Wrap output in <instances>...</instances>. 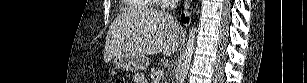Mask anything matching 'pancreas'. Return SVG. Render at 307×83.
Instances as JSON below:
<instances>
[{"label": "pancreas", "instance_id": "1", "mask_svg": "<svg viewBox=\"0 0 307 83\" xmlns=\"http://www.w3.org/2000/svg\"><path fill=\"white\" fill-rule=\"evenodd\" d=\"M159 71H160L159 68H152L151 73H150V77L155 78Z\"/></svg>", "mask_w": 307, "mask_h": 83}]
</instances>
